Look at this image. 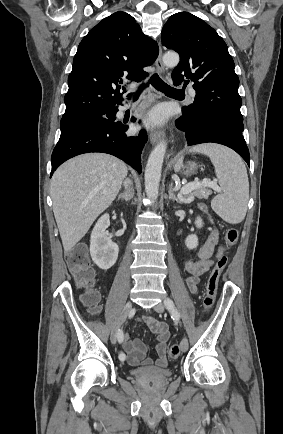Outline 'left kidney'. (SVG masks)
<instances>
[{
	"label": "left kidney",
	"instance_id": "5707ae66",
	"mask_svg": "<svg viewBox=\"0 0 283 434\" xmlns=\"http://www.w3.org/2000/svg\"><path fill=\"white\" fill-rule=\"evenodd\" d=\"M195 225L197 228H201L203 226L201 217L196 218ZM185 245L188 249H195L198 246V237L195 234L188 235L185 239Z\"/></svg>",
	"mask_w": 283,
	"mask_h": 434
}]
</instances>
